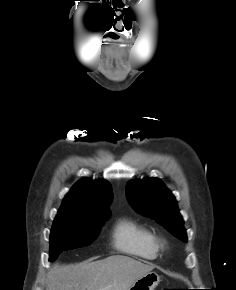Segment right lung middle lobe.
I'll list each match as a JSON object with an SVG mask.
<instances>
[{"mask_svg": "<svg viewBox=\"0 0 236 290\" xmlns=\"http://www.w3.org/2000/svg\"><path fill=\"white\" fill-rule=\"evenodd\" d=\"M107 217V214L82 219L56 217L50 234L49 261H54L63 250L90 245Z\"/></svg>", "mask_w": 236, "mask_h": 290, "instance_id": "dd1d6c3e", "label": "right lung middle lobe"}]
</instances>
